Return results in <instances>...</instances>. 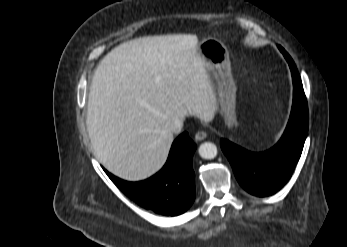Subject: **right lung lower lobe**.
<instances>
[{
	"instance_id": "1",
	"label": "right lung lower lobe",
	"mask_w": 347,
	"mask_h": 247,
	"mask_svg": "<svg viewBox=\"0 0 347 247\" xmlns=\"http://www.w3.org/2000/svg\"><path fill=\"white\" fill-rule=\"evenodd\" d=\"M195 149L196 145L184 132L173 142L164 167L140 182H127L104 171L138 205L157 214L176 216L189 209L195 199V174L192 168Z\"/></svg>"
}]
</instances>
